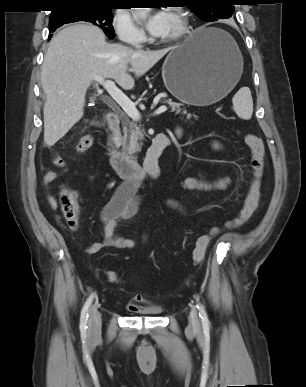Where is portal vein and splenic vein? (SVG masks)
Masks as SVG:
<instances>
[{"label":"portal vein and splenic vein","mask_w":306,"mask_h":387,"mask_svg":"<svg viewBox=\"0 0 306 387\" xmlns=\"http://www.w3.org/2000/svg\"><path fill=\"white\" fill-rule=\"evenodd\" d=\"M94 80L104 87L111 98L123 109L128 117H130L133 121H139L141 119V115L135 104L115 85L113 81L106 80L101 77H94ZM166 111L167 107L163 105L156 109L153 115H159Z\"/></svg>","instance_id":"portal-vein-and-splenic-vein-1"}]
</instances>
